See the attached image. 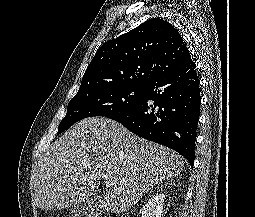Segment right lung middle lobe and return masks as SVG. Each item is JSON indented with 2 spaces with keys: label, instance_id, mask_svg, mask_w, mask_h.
I'll list each match as a JSON object with an SVG mask.
<instances>
[{
  "label": "right lung middle lobe",
  "instance_id": "1",
  "mask_svg": "<svg viewBox=\"0 0 255 217\" xmlns=\"http://www.w3.org/2000/svg\"><path fill=\"white\" fill-rule=\"evenodd\" d=\"M145 90L146 86H112L77 92L68 104L58 134L84 118L107 117L131 108L143 98Z\"/></svg>",
  "mask_w": 255,
  "mask_h": 217
}]
</instances>
